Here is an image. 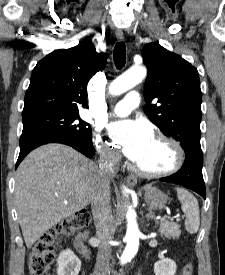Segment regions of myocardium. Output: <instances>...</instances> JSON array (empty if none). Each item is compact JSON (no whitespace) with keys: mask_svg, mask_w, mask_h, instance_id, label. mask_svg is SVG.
<instances>
[{"mask_svg":"<svg viewBox=\"0 0 225 275\" xmlns=\"http://www.w3.org/2000/svg\"><path fill=\"white\" fill-rule=\"evenodd\" d=\"M154 138L165 142L171 148V150L173 152L172 164L170 165V167H168L165 170L155 171V172L145 171V170L141 169L137 164H135L134 165L135 172L139 176H142L144 178H151V179L162 178V177H166V176L176 173L182 167V165L184 163V151H183L182 146L175 139H173L165 134H162V133L156 134L154 136Z\"/></svg>","mask_w":225,"mask_h":275,"instance_id":"1","label":"myocardium"}]
</instances>
